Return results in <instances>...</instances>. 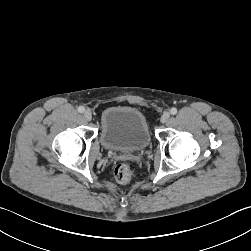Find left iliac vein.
<instances>
[{"instance_id": "left-iliac-vein-1", "label": "left iliac vein", "mask_w": 251, "mask_h": 251, "mask_svg": "<svg viewBox=\"0 0 251 251\" xmlns=\"http://www.w3.org/2000/svg\"><path fill=\"white\" fill-rule=\"evenodd\" d=\"M170 118V113L169 112H164L161 116V122L166 123Z\"/></svg>"}]
</instances>
